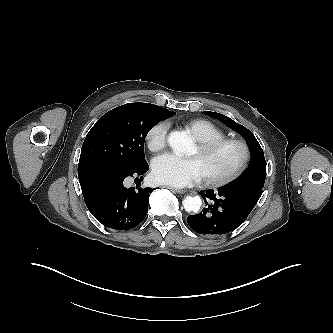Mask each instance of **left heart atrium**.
Listing matches in <instances>:
<instances>
[{"instance_id": "left-heart-atrium-1", "label": "left heart atrium", "mask_w": 333, "mask_h": 333, "mask_svg": "<svg viewBox=\"0 0 333 333\" xmlns=\"http://www.w3.org/2000/svg\"><path fill=\"white\" fill-rule=\"evenodd\" d=\"M156 181L174 187H186L201 181L203 174L198 161L166 153L157 157L152 164Z\"/></svg>"}]
</instances>
